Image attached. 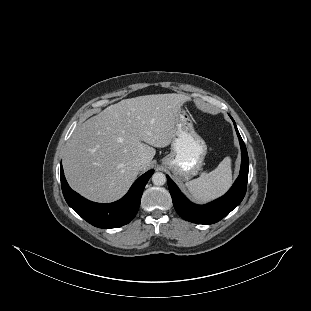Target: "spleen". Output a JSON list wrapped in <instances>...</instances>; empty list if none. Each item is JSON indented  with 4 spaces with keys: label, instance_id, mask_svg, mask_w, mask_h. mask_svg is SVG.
I'll return each mask as SVG.
<instances>
[{
    "label": "spleen",
    "instance_id": "3e777b00",
    "mask_svg": "<svg viewBox=\"0 0 311 311\" xmlns=\"http://www.w3.org/2000/svg\"><path fill=\"white\" fill-rule=\"evenodd\" d=\"M231 184L230 160L224 159L212 170H204L199 177L186 183L191 195L197 201H206L221 195Z\"/></svg>",
    "mask_w": 311,
    "mask_h": 311
}]
</instances>
